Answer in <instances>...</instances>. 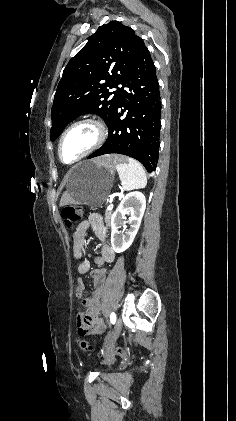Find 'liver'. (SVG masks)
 I'll list each match as a JSON object with an SVG mask.
<instances>
[{
  "mask_svg": "<svg viewBox=\"0 0 236 421\" xmlns=\"http://www.w3.org/2000/svg\"><path fill=\"white\" fill-rule=\"evenodd\" d=\"M120 160H123V156H120V154H104V156H100V158H95L94 162H99V164H104V166H114V164L120 162ZM69 202H72V200L70 194L65 190L61 196L60 206L69 204Z\"/></svg>",
  "mask_w": 236,
  "mask_h": 421,
  "instance_id": "1",
  "label": "liver"
}]
</instances>
